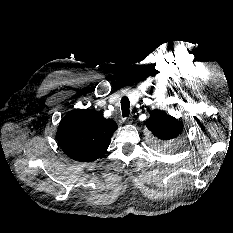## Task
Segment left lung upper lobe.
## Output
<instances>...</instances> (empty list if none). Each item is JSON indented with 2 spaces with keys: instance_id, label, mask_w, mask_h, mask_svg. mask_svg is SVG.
Listing matches in <instances>:
<instances>
[{
  "instance_id": "1",
  "label": "left lung upper lobe",
  "mask_w": 233,
  "mask_h": 233,
  "mask_svg": "<svg viewBox=\"0 0 233 233\" xmlns=\"http://www.w3.org/2000/svg\"><path fill=\"white\" fill-rule=\"evenodd\" d=\"M145 125L156 140H160L159 143L177 137L183 130V123L158 109L150 112V117L146 120Z\"/></svg>"
}]
</instances>
